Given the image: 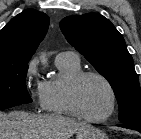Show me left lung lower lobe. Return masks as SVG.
<instances>
[{
	"instance_id": "1",
	"label": "left lung lower lobe",
	"mask_w": 141,
	"mask_h": 139,
	"mask_svg": "<svg viewBox=\"0 0 141 139\" xmlns=\"http://www.w3.org/2000/svg\"><path fill=\"white\" fill-rule=\"evenodd\" d=\"M120 126L128 129H133L141 133V122L124 123Z\"/></svg>"
}]
</instances>
